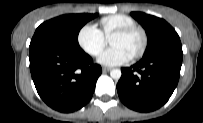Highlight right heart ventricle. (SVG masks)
<instances>
[{
	"instance_id": "right-heart-ventricle-1",
	"label": "right heart ventricle",
	"mask_w": 203,
	"mask_h": 123,
	"mask_svg": "<svg viewBox=\"0 0 203 123\" xmlns=\"http://www.w3.org/2000/svg\"><path fill=\"white\" fill-rule=\"evenodd\" d=\"M102 33L106 38H109L113 32L118 29L134 26L136 22L129 16L124 14H114L103 17L100 21Z\"/></svg>"
}]
</instances>
